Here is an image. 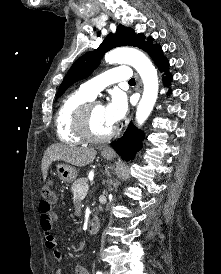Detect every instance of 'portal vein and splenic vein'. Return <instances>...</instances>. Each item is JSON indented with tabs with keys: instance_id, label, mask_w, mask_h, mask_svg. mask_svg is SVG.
<instances>
[{
	"instance_id": "obj_1",
	"label": "portal vein and splenic vein",
	"mask_w": 221,
	"mask_h": 274,
	"mask_svg": "<svg viewBox=\"0 0 221 274\" xmlns=\"http://www.w3.org/2000/svg\"><path fill=\"white\" fill-rule=\"evenodd\" d=\"M88 189H89L88 186H85V187L81 188L80 191H79V192H80L79 195H80L82 198H84L85 195H86L87 192H88Z\"/></svg>"
}]
</instances>
